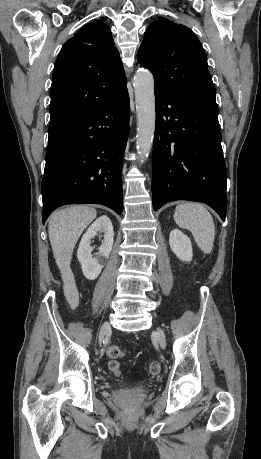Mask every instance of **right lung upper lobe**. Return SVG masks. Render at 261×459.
<instances>
[{"instance_id":"obj_1","label":"right lung upper lobe","mask_w":261,"mask_h":459,"mask_svg":"<svg viewBox=\"0 0 261 459\" xmlns=\"http://www.w3.org/2000/svg\"><path fill=\"white\" fill-rule=\"evenodd\" d=\"M126 87V76L108 26L95 21L62 47L50 90V125L74 124Z\"/></svg>"}]
</instances>
